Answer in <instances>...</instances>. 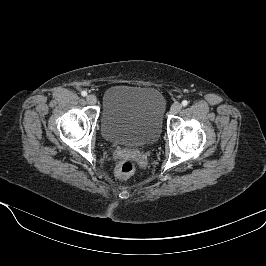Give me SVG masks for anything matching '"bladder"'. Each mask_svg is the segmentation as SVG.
Returning a JSON list of instances; mask_svg holds the SVG:
<instances>
[{
  "instance_id": "bladder-1",
  "label": "bladder",
  "mask_w": 266,
  "mask_h": 266,
  "mask_svg": "<svg viewBox=\"0 0 266 266\" xmlns=\"http://www.w3.org/2000/svg\"><path fill=\"white\" fill-rule=\"evenodd\" d=\"M166 101L153 87L114 85L102 100L101 133L115 144L146 146L161 134Z\"/></svg>"
}]
</instances>
